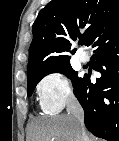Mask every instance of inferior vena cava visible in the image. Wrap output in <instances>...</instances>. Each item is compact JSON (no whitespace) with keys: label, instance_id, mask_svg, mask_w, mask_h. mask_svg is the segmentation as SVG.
Listing matches in <instances>:
<instances>
[{"label":"inferior vena cava","instance_id":"1","mask_svg":"<svg viewBox=\"0 0 119 141\" xmlns=\"http://www.w3.org/2000/svg\"><path fill=\"white\" fill-rule=\"evenodd\" d=\"M68 115L75 120L76 127L81 134V141H87V135L84 127V111L75 96H70L67 101Z\"/></svg>","mask_w":119,"mask_h":141}]
</instances>
